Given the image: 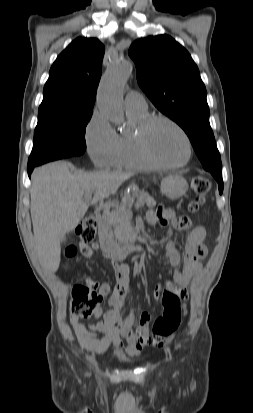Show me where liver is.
Returning <instances> with one entry per match:
<instances>
[{
    "mask_svg": "<svg viewBox=\"0 0 253 413\" xmlns=\"http://www.w3.org/2000/svg\"><path fill=\"white\" fill-rule=\"evenodd\" d=\"M130 173L100 171L72 172L71 165L57 161L32 174L31 219L37 256L41 265L54 273L60 264V241L75 229L88 210L83 195L95 191L92 204L113 195Z\"/></svg>",
    "mask_w": 253,
    "mask_h": 413,
    "instance_id": "1",
    "label": "liver"
}]
</instances>
